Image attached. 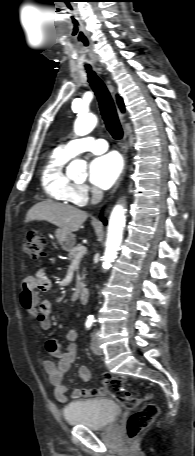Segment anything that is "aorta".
<instances>
[{
  "label": "aorta",
  "mask_w": 195,
  "mask_h": 456,
  "mask_svg": "<svg viewBox=\"0 0 195 456\" xmlns=\"http://www.w3.org/2000/svg\"><path fill=\"white\" fill-rule=\"evenodd\" d=\"M97 124V117L93 114H81L75 121L74 131L78 136L90 133ZM86 172V163L83 160L75 159L68 166L70 176H83ZM125 225V209L122 205H116L110 215L106 249L103 257V268L108 269L116 259L119 247L123 238Z\"/></svg>",
  "instance_id": "obj_1"
}]
</instances>
